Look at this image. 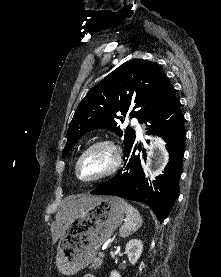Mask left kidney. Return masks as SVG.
I'll return each instance as SVG.
<instances>
[{"label":"left kidney","mask_w":221,"mask_h":277,"mask_svg":"<svg viewBox=\"0 0 221 277\" xmlns=\"http://www.w3.org/2000/svg\"><path fill=\"white\" fill-rule=\"evenodd\" d=\"M143 251V243L139 239L130 240L125 247V253L128 256L129 262L134 265L139 260ZM110 277H121L119 272L112 271L110 273Z\"/></svg>","instance_id":"1"}]
</instances>
